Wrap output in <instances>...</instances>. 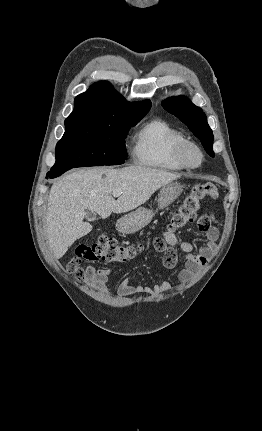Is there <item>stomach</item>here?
I'll return each instance as SVG.
<instances>
[{"label": "stomach", "instance_id": "0dacf381", "mask_svg": "<svg viewBox=\"0 0 262 431\" xmlns=\"http://www.w3.org/2000/svg\"><path fill=\"white\" fill-rule=\"evenodd\" d=\"M183 191L178 182L168 183L160 189L157 197L158 209H163L174 202ZM154 216V211L145 207L122 216L116 222L117 229L123 234H134L147 226Z\"/></svg>", "mask_w": 262, "mask_h": 431}]
</instances>
